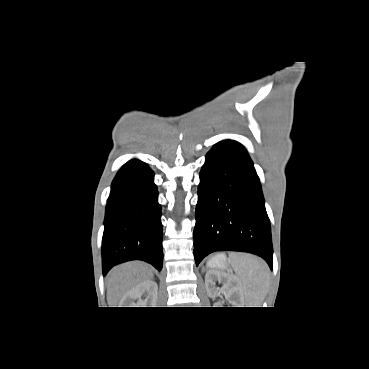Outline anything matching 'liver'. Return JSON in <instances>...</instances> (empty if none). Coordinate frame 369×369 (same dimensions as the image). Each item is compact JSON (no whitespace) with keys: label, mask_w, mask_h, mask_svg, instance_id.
Returning <instances> with one entry per match:
<instances>
[{"label":"liver","mask_w":369,"mask_h":369,"mask_svg":"<svg viewBox=\"0 0 369 369\" xmlns=\"http://www.w3.org/2000/svg\"><path fill=\"white\" fill-rule=\"evenodd\" d=\"M153 270L143 262L133 261L114 267L108 274L107 302L116 307L119 300L138 284L153 279Z\"/></svg>","instance_id":"obj_1"}]
</instances>
